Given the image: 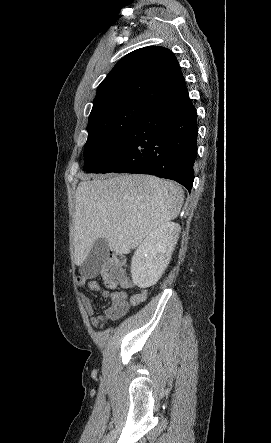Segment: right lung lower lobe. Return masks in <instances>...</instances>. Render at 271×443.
Here are the masks:
<instances>
[{"label": "right lung lower lobe", "mask_w": 271, "mask_h": 443, "mask_svg": "<svg viewBox=\"0 0 271 443\" xmlns=\"http://www.w3.org/2000/svg\"><path fill=\"white\" fill-rule=\"evenodd\" d=\"M196 155L197 114L185 91L152 103L109 160L92 173L150 174L190 191Z\"/></svg>", "instance_id": "1"}]
</instances>
